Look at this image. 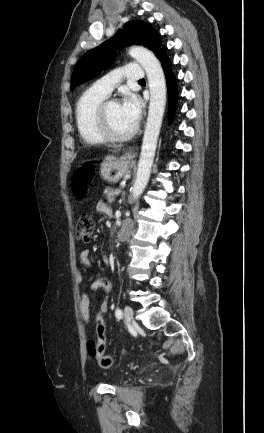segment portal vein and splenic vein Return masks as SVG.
Segmentation results:
<instances>
[{
    "instance_id": "18ae733b",
    "label": "portal vein and splenic vein",
    "mask_w": 264,
    "mask_h": 433,
    "mask_svg": "<svg viewBox=\"0 0 264 433\" xmlns=\"http://www.w3.org/2000/svg\"><path fill=\"white\" fill-rule=\"evenodd\" d=\"M120 193H121V190H120V189H116V190H115V194H116V195H119Z\"/></svg>"
}]
</instances>
